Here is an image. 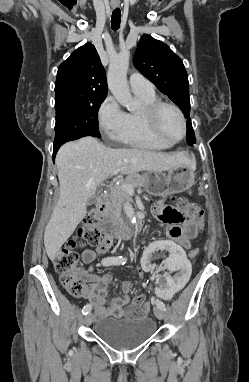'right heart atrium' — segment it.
<instances>
[{
    "instance_id": "right-heart-atrium-1",
    "label": "right heart atrium",
    "mask_w": 249,
    "mask_h": 382,
    "mask_svg": "<svg viewBox=\"0 0 249 382\" xmlns=\"http://www.w3.org/2000/svg\"><path fill=\"white\" fill-rule=\"evenodd\" d=\"M98 126L102 134L118 140L127 128V113L112 96H107L97 113Z\"/></svg>"
}]
</instances>
